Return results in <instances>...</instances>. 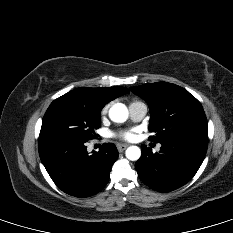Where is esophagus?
<instances>
[{"label":"esophagus","mask_w":233,"mask_h":233,"mask_svg":"<svg viewBox=\"0 0 233 233\" xmlns=\"http://www.w3.org/2000/svg\"><path fill=\"white\" fill-rule=\"evenodd\" d=\"M128 147L127 144H118L117 149L119 152H123Z\"/></svg>","instance_id":"esophagus-1"}]
</instances>
